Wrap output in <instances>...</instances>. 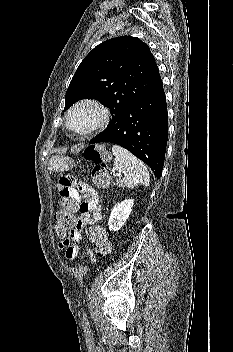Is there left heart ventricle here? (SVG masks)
I'll use <instances>...</instances> for the list:
<instances>
[{"label":"left heart ventricle","instance_id":"1","mask_svg":"<svg viewBox=\"0 0 233 352\" xmlns=\"http://www.w3.org/2000/svg\"><path fill=\"white\" fill-rule=\"evenodd\" d=\"M98 118V112L91 107L78 109L72 116V125L75 129L84 130Z\"/></svg>","mask_w":233,"mask_h":352}]
</instances>
